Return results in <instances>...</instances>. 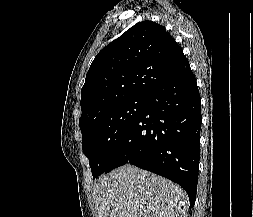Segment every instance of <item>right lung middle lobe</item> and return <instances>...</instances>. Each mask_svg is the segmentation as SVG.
Listing matches in <instances>:
<instances>
[{
    "label": "right lung middle lobe",
    "instance_id": "1",
    "mask_svg": "<svg viewBox=\"0 0 253 217\" xmlns=\"http://www.w3.org/2000/svg\"><path fill=\"white\" fill-rule=\"evenodd\" d=\"M145 104L146 97L129 98L104 108L80 125L82 148L93 178L108 170L113 154Z\"/></svg>",
    "mask_w": 253,
    "mask_h": 217
}]
</instances>
